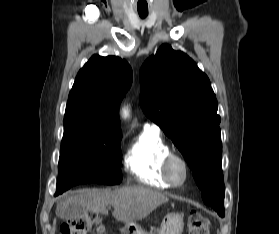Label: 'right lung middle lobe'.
<instances>
[{
  "label": "right lung middle lobe",
  "instance_id": "dd1d6c3e",
  "mask_svg": "<svg viewBox=\"0 0 279 234\" xmlns=\"http://www.w3.org/2000/svg\"><path fill=\"white\" fill-rule=\"evenodd\" d=\"M59 159V195L80 183L119 184L121 134L101 133L82 119H64Z\"/></svg>",
  "mask_w": 279,
  "mask_h": 234
}]
</instances>
